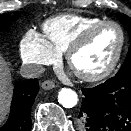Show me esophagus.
<instances>
[{
    "label": "esophagus",
    "instance_id": "1",
    "mask_svg": "<svg viewBox=\"0 0 131 131\" xmlns=\"http://www.w3.org/2000/svg\"><path fill=\"white\" fill-rule=\"evenodd\" d=\"M54 87H56V85H55V83H54L53 81H51V80H46V81H44V82L42 83V88H43L44 90H49V89H52V88H54Z\"/></svg>",
    "mask_w": 131,
    "mask_h": 131
}]
</instances>
